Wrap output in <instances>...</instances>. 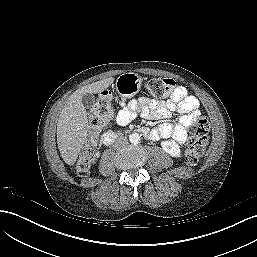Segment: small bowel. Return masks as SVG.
<instances>
[{
  "label": "small bowel",
  "mask_w": 257,
  "mask_h": 257,
  "mask_svg": "<svg viewBox=\"0 0 257 257\" xmlns=\"http://www.w3.org/2000/svg\"><path fill=\"white\" fill-rule=\"evenodd\" d=\"M198 107V100L189 95L185 87L178 86L166 103L153 102L144 97L129 102H121V109L117 114L116 121L120 125H126L138 114L147 119H162L168 117L171 111H177L182 114L179 122L159 125L150 132V138L152 140L173 138L179 143H184L187 138L188 127L199 115Z\"/></svg>",
  "instance_id": "1"
}]
</instances>
